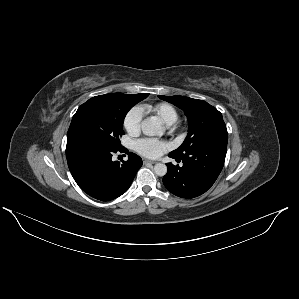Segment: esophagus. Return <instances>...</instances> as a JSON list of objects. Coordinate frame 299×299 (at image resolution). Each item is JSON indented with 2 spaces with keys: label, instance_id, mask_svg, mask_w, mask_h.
<instances>
[{
  "label": "esophagus",
  "instance_id": "obj_1",
  "mask_svg": "<svg viewBox=\"0 0 299 299\" xmlns=\"http://www.w3.org/2000/svg\"><path fill=\"white\" fill-rule=\"evenodd\" d=\"M155 163H156L155 161H151V160H147V159L143 160V164H155Z\"/></svg>",
  "mask_w": 299,
  "mask_h": 299
}]
</instances>
